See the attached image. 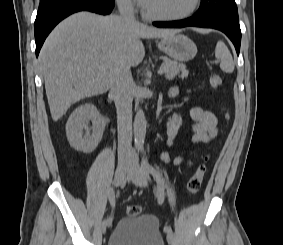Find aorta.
Listing matches in <instances>:
<instances>
[{
    "label": "aorta",
    "mask_w": 283,
    "mask_h": 245,
    "mask_svg": "<svg viewBox=\"0 0 283 245\" xmlns=\"http://www.w3.org/2000/svg\"><path fill=\"white\" fill-rule=\"evenodd\" d=\"M146 117L144 111L140 108L137 110L134 119V142L138 149L144 146L146 136Z\"/></svg>",
    "instance_id": "762f6f07"
}]
</instances>
